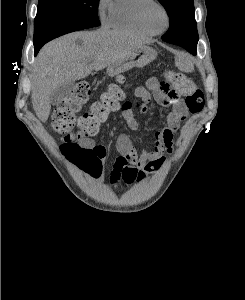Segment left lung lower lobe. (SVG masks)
I'll list each match as a JSON object with an SVG mask.
<instances>
[{
	"label": "left lung lower lobe",
	"instance_id": "obj_1",
	"mask_svg": "<svg viewBox=\"0 0 245 300\" xmlns=\"http://www.w3.org/2000/svg\"><path fill=\"white\" fill-rule=\"evenodd\" d=\"M175 45H179V46L185 48L187 51H189L193 55L196 54V46L197 45L195 47H190L188 39L184 40L183 42H177Z\"/></svg>",
	"mask_w": 245,
	"mask_h": 300
}]
</instances>
